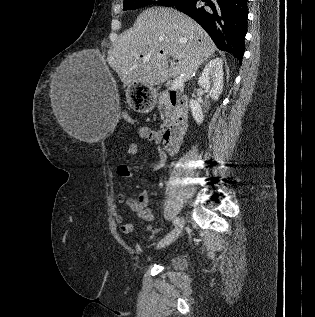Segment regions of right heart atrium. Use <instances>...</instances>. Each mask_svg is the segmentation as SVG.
Here are the masks:
<instances>
[{"instance_id":"1","label":"right heart atrium","mask_w":315,"mask_h":317,"mask_svg":"<svg viewBox=\"0 0 315 317\" xmlns=\"http://www.w3.org/2000/svg\"><path fill=\"white\" fill-rule=\"evenodd\" d=\"M152 1L157 2V1H159V0H152Z\"/></svg>"}]
</instances>
